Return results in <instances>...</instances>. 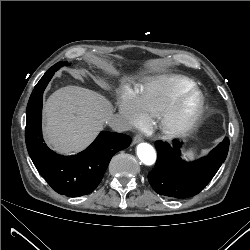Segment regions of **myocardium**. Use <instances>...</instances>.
Wrapping results in <instances>:
<instances>
[{
    "label": "myocardium",
    "mask_w": 250,
    "mask_h": 250,
    "mask_svg": "<svg viewBox=\"0 0 250 250\" xmlns=\"http://www.w3.org/2000/svg\"><path fill=\"white\" fill-rule=\"evenodd\" d=\"M191 99L196 100L193 109H188ZM206 107L203 92L195 85L183 90L172 104L159 116L158 128L168 139L183 136L190 132L202 118Z\"/></svg>",
    "instance_id": "myocardium-1"
}]
</instances>
